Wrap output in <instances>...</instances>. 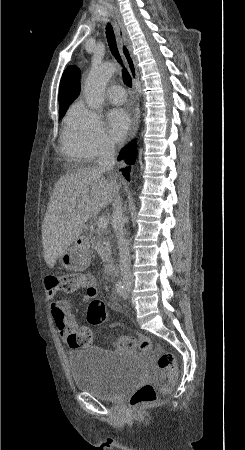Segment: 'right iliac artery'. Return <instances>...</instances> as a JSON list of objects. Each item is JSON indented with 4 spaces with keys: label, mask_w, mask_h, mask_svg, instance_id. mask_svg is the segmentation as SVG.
Segmentation results:
<instances>
[{
    "label": "right iliac artery",
    "mask_w": 245,
    "mask_h": 450,
    "mask_svg": "<svg viewBox=\"0 0 245 450\" xmlns=\"http://www.w3.org/2000/svg\"><path fill=\"white\" fill-rule=\"evenodd\" d=\"M116 291H117V293H118L120 296L123 295V293H124V285H123V283H122L121 281H118V282H117V284H116Z\"/></svg>",
    "instance_id": "obj_1"
}]
</instances>
